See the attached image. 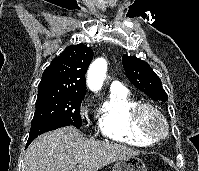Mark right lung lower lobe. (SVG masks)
I'll return each instance as SVG.
<instances>
[{"label": "right lung lower lobe", "mask_w": 199, "mask_h": 171, "mask_svg": "<svg viewBox=\"0 0 199 171\" xmlns=\"http://www.w3.org/2000/svg\"><path fill=\"white\" fill-rule=\"evenodd\" d=\"M68 125L71 124L62 120H43L31 125L30 135L26 147H28L38 135Z\"/></svg>", "instance_id": "98d812e1"}]
</instances>
